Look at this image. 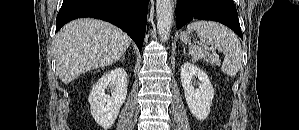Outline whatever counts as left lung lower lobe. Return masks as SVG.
Masks as SVG:
<instances>
[{
	"mask_svg": "<svg viewBox=\"0 0 299 130\" xmlns=\"http://www.w3.org/2000/svg\"><path fill=\"white\" fill-rule=\"evenodd\" d=\"M176 15L177 29L193 19L213 20L228 26L243 39L233 0H178Z\"/></svg>",
	"mask_w": 299,
	"mask_h": 130,
	"instance_id": "1",
	"label": "left lung lower lobe"
}]
</instances>
